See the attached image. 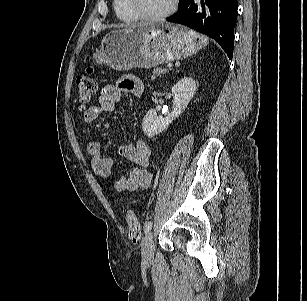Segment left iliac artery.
Segmentation results:
<instances>
[{
  "mask_svg": "<svg viewBox=\"0 0 307 301\" xmlns=\"http://www.w3.org/2000/svg\"><path fill=\"white\" fill-rule=\"evenodd\" d=\"M152 221H148L144 225V232L147 234L152 229Z\"/></svg>",
  "mask_w": 307,
  "mask_h": 301,
  "instance_id": "left-iliac-artery-1",
  "label": "left iliac artery"
}]
</instances>
